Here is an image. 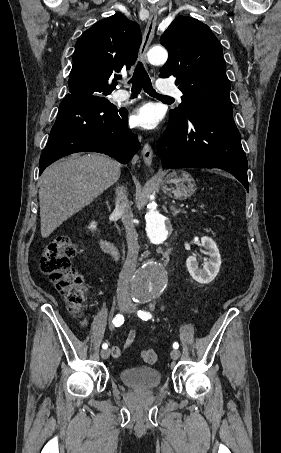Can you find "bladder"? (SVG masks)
<instances>
[{"label":"bladder","instance_id":"obj_1","mask_svg":"<svg viewBox=\"0 0 281 453\" xmlns=\"http://www.w3.org/2000/svg\"><path fill=\"white\" fill-rule=\"evenodd\" d=\"M120 380L127 386L136 389H151L161 383V374L150 367L124 368L119 372Z\"/></svg>","mask_w":281,"mask_h":453}]
</instances>
